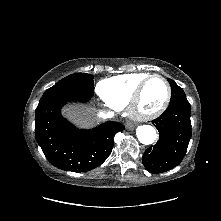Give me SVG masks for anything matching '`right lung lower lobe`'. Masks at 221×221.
Here are the masks:
<instances>
[{"mask_svg": "<svg viewBox=\"0 0 221 221\" xmlns=\"http://www.w3.org/2000/svg\"><path fill=\"white\" fill-rule=\"evenodd\" d=\"M88 102L80 96H63L39 103L35 113L36 140L48 161L59 169L84 172L100 166L110 155L114 136L124 130L118 122H106L81 130L60 113L67 102Z\"/></svg>", "mask_w": 221, "mask_h": 221, "instance_id": "98d812e1", "label": "right lung lower lobe"}]
</instances>
